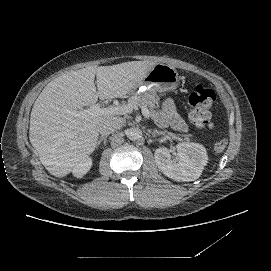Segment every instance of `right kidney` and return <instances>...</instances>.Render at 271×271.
<instances>
[{
    "label": "right kidney",
    "mask_w": 271,
    "mask_h": 271,
    "mask_svg": "<svg viewBox=\"0 0 271 271\" xmlns=\"http://www.w3.org/2000/svg\"><path fill=\"white\" fill-rule=\"evenodd\" d=\"M91 166L92 159L90 157H86L77 162L71 171L76 178H82L90 170Z\"/></svg>",
    "instance_id": "obj_1"
}]
</instances>
